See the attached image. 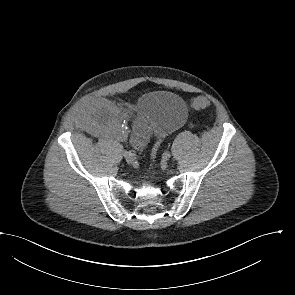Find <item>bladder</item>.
Here are the masks:
<instances>
[{
	"mask_svg": "<svg viewBox=\"0 0 295 295\" xmlns=\"http://www.w3.org/2000/svg\"><path fill=\"white\" fill-rule=\"evenodd\" d=\"M188 108L184 100L170 91H151L137 104L136 116H143L158 135H166L186 120Z\"/></svg>",
	"mask_w": 295,
	"mask_h": 295,
	"instance_id": "obj_1",
	"label": "bladder"
}]
</instances>
